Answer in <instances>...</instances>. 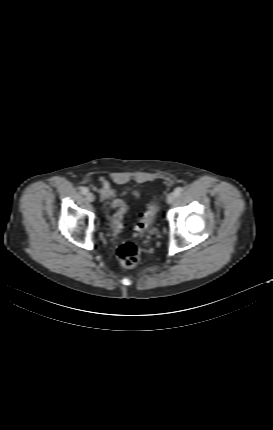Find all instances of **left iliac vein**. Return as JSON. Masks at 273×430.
I'll list each match as a JSON object with an SVG mask.
<instances>
[{
	"mask_svg": "<svg viewBox=\"0 0 273 430\" xmlns=\"http://www.w3.org/2000/svg\"><path fill=\"white\" fill-rule=\"evenodd\" d=\"M175 199H176L175 194L174 193H170L167 196V203L168 204H172V203H174Z\"/></svg>",
	"mask_w": 273,
	"mask_h": 430,
	"instance_id": "1",
	"label": "left iliac vein"
}]
</instances>
